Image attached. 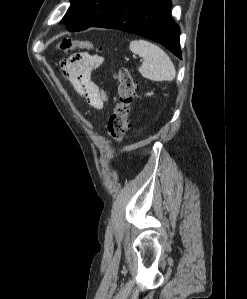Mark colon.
I'll return each instance as SVG.
<instances>
[{
	"instance_id": "5ec220e1",
	"label": "colon",
	"mask_w": 247,
	"mask_h": 299,
	"mask_svg": "<svg viewBox=\"0 0 247 299\" xmlns=\"http://www.w3.org/2000/svg\"><path fill=\"white\" fill-rule=\"evenodd\" d=\"M61 51L80 48L87 51H98V48L89 41L64 38L58 44ZM118 89L116 104L109 117L107 129L110 136L118 143H122L130 129V108L135 95L134 80L126 68L117 73Z\"/></svg>"
}]
</instances>
